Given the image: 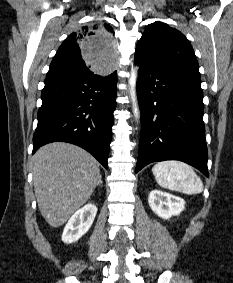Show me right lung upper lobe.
<instances>
[{
    "label": "right lung upper lobe",
    "instance_id": "1",
    "mask_svg": "<svg viewBox=\"0 0 233 283\" xmlns=\"http://www.w3.org/2000/svg\"><path fill=\"white\" fill-rule=\"evenodd\" d=\"M113 34V28L107 23L83 26L71 33L54 56L47 77L114 70L109 59L117 58L118 44L111 43H117L118 39L112 38Z\"/></svg>",
    "mask_w": 233,
    "mask_h": 283
}]
</instances>
